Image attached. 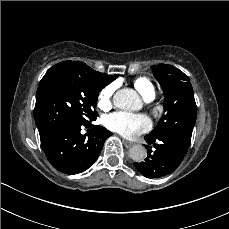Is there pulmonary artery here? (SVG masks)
<instances>
[{"label": "pulmonary artery", "mask_w": 229, "mask_h": 229, "mask_svg": "<svg viewBox=\"0 0 229 229\" xmlns=\"http://www.w3.org/2000/svg\"><path fill=\"white\" fill-rule=\"evenodd\" d=\"M152 100H153L152 97H149V98L145 99L146 102H150V101H152Z\"/></svg>", "instance_id": "obj_1"}]
</instances>
